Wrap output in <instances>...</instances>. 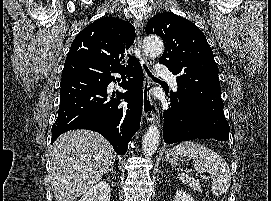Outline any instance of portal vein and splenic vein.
<instances>
[{
    "instance_id": "obj_1",
    "label": "portal vein and splenic vein",
    "mask_w": 271,
    "mask_h": 201,
    "mask_svg": "<svg viewBox=\"0 0 271 201\" xmlns=\"http://www.w3.org/2000/svg\"><path fill=\"white\" fill-rule=\"evenodd\" d=\"M199 177H200V179H202V180H206V179H207V177L204 176V175H199Z\"/></svg>"
}]
</instances>
